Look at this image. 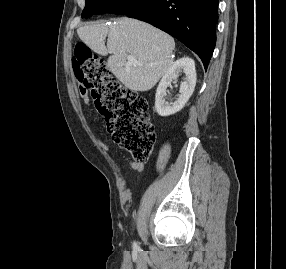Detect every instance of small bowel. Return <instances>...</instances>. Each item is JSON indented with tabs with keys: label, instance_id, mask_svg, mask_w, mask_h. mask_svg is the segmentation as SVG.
I'll return each mask as SVG.
<instances>
[{
	"label": "small bowel",
	"instance_id": "c3829d8e",
	"mask_svg": "<svg viewBox=\"0 0 286 269\" xmlns=\"http://www.w3.org/2000/svg\"><path fill=\"white\" fill-rule=\"evenodd\" d=\"M129 166L137 172H142L144 170V163L127 160Z\"/></svg>",
	"mask_w": 286,
	"mask_h": 269
}]
</instances>
